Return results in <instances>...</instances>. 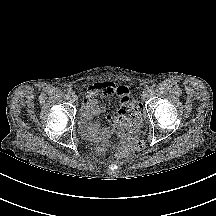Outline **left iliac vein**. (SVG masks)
<instances>
[{
	"instance_id": "4c4485c4",
	"label": "left iliac vein",
	"mask_w": 216,
	"mask_h": 216,
	"mask_svg": "<svg viewBox=\"0 0 216 216\" xmlns=\"http://www.w3.org/2000/svg\"><path fill=\"white\" fill-rule=\"evenodd\" d=\"M141 96L143 99H146L149 96V91L148 90L143 91Z\"/></svg>"
}]
</instances>
